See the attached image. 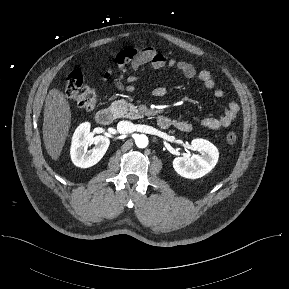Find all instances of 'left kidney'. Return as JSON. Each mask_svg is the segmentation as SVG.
<instances>
[{
    "mask_svg": "<svg viewBox=\"0 0 289 289\" xmlns=\"http://www.w3.org/2000/svg\"><path fill=\"white\" fill-rule=\"evenodd\" d=\"M191 146L192 149L198 150L201 155H192L189 159L176 157L173 160V168L182 177L197 179L203 177L215 167L219 152L211 142L205 139H193Z\"/></svg>",
    "mask_w": 289,
    "mask_h": 289,
    "instance_id": "1",
    "label": "left kidney"
}]
</instances>
